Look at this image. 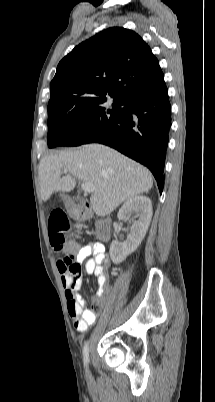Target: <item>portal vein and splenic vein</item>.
Here are the masks:
<instances>
[{
  "label": "portal vein and splenic vein",
  "instance_id": "portal-vein-and-splenic-vein-1",
  "mask_svg": "<svg viewBox=\"0 0 215 402\" xmlns=\"http://www.w3.org/2000/svg\"><path fill=\"white\" fill-rule=\"evenodd\" d=\"M66 172V170H65ZM82 190L86 193H92L94 191V186L91 183L83 182L81 184Z\"/></svg>",
  "mask_w": 215,
  "mask_h": 402
}]
</instances>
